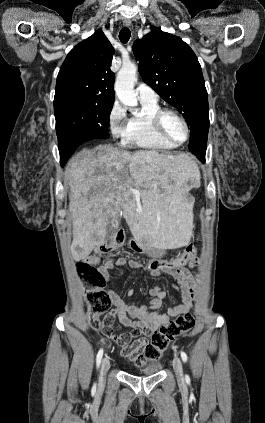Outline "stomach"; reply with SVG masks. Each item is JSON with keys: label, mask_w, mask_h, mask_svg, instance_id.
Masks as SVG:
<instances>
[{"label": "stomach", "mask_w": 265, "mask_h": 423, "mask_svg": "<svg viewBox=\"0 0 265 423\" xmlns=\"http://www.w3.org/2000/svg\"><path fill=\"white\" fill-rule=\"evenodd\" d=\"M138 244L143 249V251L146 252V254L150 257L158 258L162 257L165 254L163 250L154 247H149L144 242H139Z\"/></svg>", "instance_id": "obj_1"}]
</instances>
